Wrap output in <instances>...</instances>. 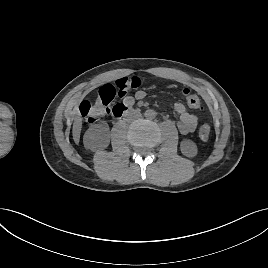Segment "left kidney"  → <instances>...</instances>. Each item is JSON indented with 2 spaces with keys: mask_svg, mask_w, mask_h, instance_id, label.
Wrapping results in <instances>:
<instances>
[{
  "mask_svg": "<svg viewBox=\"0 0 268 268\" xmlns=\"http://www.w3.org/2000/svg\"><path fill=\"white\" fill-rule=\"evenodd\" d=\"M180 149L183 155L194 157L197 155V145L190 139H184L180 144Z\"/></svg>",
  "mask_w": 268,
  "mask_h": 268,
  "instance_id": "1",
  "label": "left kidney"
}]
</instances>
